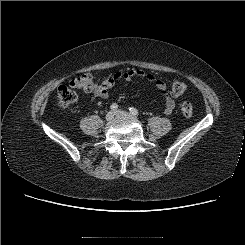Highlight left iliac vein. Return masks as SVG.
<instances>
[{
	"instance_id": "4c4485c4",
	"label": "left iliac vein",
	"mask_w": 245,
	"mask_h": 245,
	"mask_svg": "<svg viewBox=\"0 0 245 245\" xmlns=\"http://www.w3.org/2000/svg\"><path fill=\"white\" fill-rule=\"evenodd\" d=\"M115 115H117V116H129V114L126 111H123V110L115 111Z\"/></svg>"
}]
</instances>
